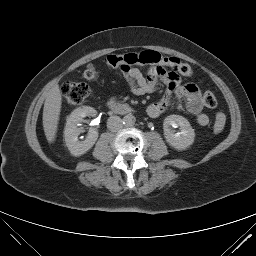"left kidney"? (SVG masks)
<instances>
[{
	"instance_id": "left-kidney-1",
	"label": "left kidney",
	"mask_w": 256,
	"mask_h": 256,
	"mask_svg": "<svg viewBox=\"0 0 256 256\" xmlns=\"http://www.w3.org/2000/svg\"><path fill=\"white\" fill-rule=\"evenodd\" d=\"M177 127H179L180 132L175 133L173 128ZM163 129L167 143L177 150H185L194 142V129L191 127L189 121L182 116H167L163 122Z\"/></svg>"
}]
</instances>
